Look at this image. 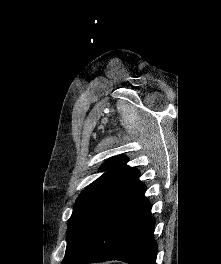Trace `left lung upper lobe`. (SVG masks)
Here are the masks:
<instances>
[{"label": "left lung upper lobe", "instance_id": "obj_1", "mask_svg": "<svg viewBox=\"0 0 221 264\" xmlns=\"http://www.w3.org/2000/svg\"><path fill=\"white\" fill-rule=\"evenodd\" d=\"M124 156L113 157L101 169L106 171L88 185L76 200L67 228V256L87 234L142 183L139 171L125 165Z\"/></svg>", "mask_w": 221, "mask_h": 264}]
</instances>
